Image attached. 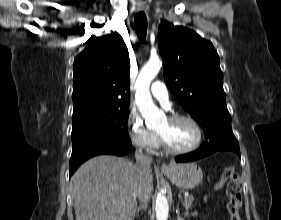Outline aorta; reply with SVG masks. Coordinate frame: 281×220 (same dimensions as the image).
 Returning <instances> with one entry per match:
<instances>
[{"instance_id": "1", "label": "aorta", "mask_w": 281, "mask_h": 220, "mask_svg": "<svg viewBox=\"0 0 281 220\" xmlns=\"http://www.w3.org/2000/svg\"><path fill=\"white\" fill-rule=\"evenodd\" d=\"M161 65L162 62L159 58L150 59L141 69L135 84V102L149 128L155 126L163 116V113L155 106L150 94V84L160 71ZM155 211L156 220L168 219V201L162 194H158L156 198Z\"/></svg>"}]
</instances>
